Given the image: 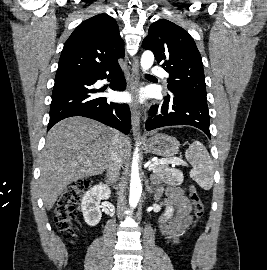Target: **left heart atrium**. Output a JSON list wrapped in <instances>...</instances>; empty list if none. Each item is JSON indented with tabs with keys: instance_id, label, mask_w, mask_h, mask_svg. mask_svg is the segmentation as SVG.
Here are the masks:
<instances>
[{
	"instance_id": "39dd6f15",
	"label": "left heart atrium",
	"mask_w": 267,
	"mask_h": 270,
	"mask_svg": "<svg viewBox=\"0 0 267 270\" xmlns=\"http://www.w3.org/2000/svg\"><path fill=\"white\" fill-rule=\"evenodd\" d=\"M124 98H125V99H129L130 97H129L128 95H125Z\"/></svg>"
}]
</instances>
